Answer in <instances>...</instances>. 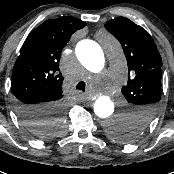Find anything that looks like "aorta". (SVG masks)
<instances>
[{
    "label": "aorta",
    "mask_w": 174,
    "mask_h": 174,
    "mask_svg": "<svg viewBox=\"0 0 174 174\" xmlns=\"http://www.w3.org/2000/svg\"><path fill=\"white\" fill-rule=\"evenodd\" d=\"M107 54L113 58L115 62L120 61V51L117 45L108 40L106 46ZM77 59L82 65L93 73H100L105 64L104 52L100 45L92 40H82L75 48ZM122 68V64H120ZM95 115L104 123V129L114 135L120 130V124L123 120L120 116L114 115V102L108 96H99L94 105Z\"/></svg>",
    "instance_id": "aorta-1"
}]
</instances>
